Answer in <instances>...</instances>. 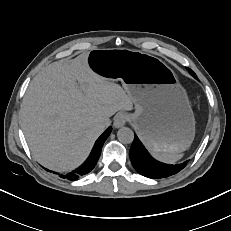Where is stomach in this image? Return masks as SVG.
Returning a JSON list of instances; mask_svg holds the SVG:
<instances>
[{
  "label": "stomach",
  "instance_id": "stomach-1",
  "mask_svg": "<svg viewBox=\"0 0 231 231\" xmlns=\"http://www.w3.org/2000/svg\"><path fill=\"white\" fill-rule=\"evenodd\" d=\"M87 64L97 75L121 81L135 104L131 122L154 153L178 154L195 136V118L188 96L173 70L161 59L130 49H98Z\"/></svg>",
  "mask_w": 231,
  "mask_h": 231
}]
</instances>
